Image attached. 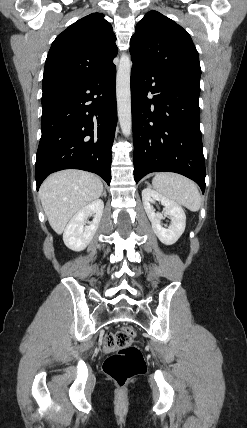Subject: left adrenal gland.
Returning a JSON list of instances; mask_svg holds the SVG:
<instances>
[{"instance_id": "1", "label": "left adrenal gland", "mask_w": 247, "mask_h": 428, "mask_svg": "<svg viewBox=\"0 0 247 428\" xmlns=\"http://www.w3.org/2000/svg\"><path fill=\"white\" fill-rule=\"evenodd\" d=\"M149 187H150V184H149V182H145Z\"/></svg>"}]
</instances>
